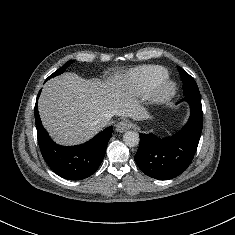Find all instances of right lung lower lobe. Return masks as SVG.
Segmentation results:
<instances>
[{
	"label": "right lung lower lobe",
	"mask_w": 235,
	"mask_h": 235,
	"mask_svg": "<svg viewBox=\"0 0 235 235\" xmlns=\"http://www.w3.org/2000/svg\"><path fill=\"white\" fill-rule=\"evenodd\" d=\"M40 92L41 90L38 97ZM35 122L42 156L56 174L68 180H81L91 176L98 169L105 156L113 126L101 131L84 144L66 147L56 144L49 137L42 126L37 102L35 105Z\"/></svg>",
	"instance_id": "obj_1"
}]
</instances>
